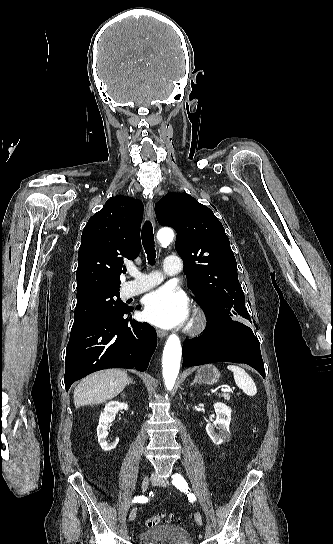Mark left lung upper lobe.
<instances>
[{
    "instance_id": "5c2ea615",
    "label": "left lung upper lobe",
    "mask_w": 333,
    "mask_h": 544,
    "mask_svg": "<svg viewBox=\"0 0 333 544\" xmlns=\"http://www.w3.org/2000/svg\"><path fill=\"white\" fill-rule=\"evenodd\" d=\"M155 212L161 225L176 230L175 248L185 262L188 287L210 320L251 322L229 239L212 210L190 195L168 193Z\"/></svg>"
}]
</instances>
